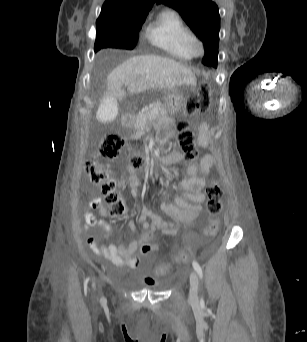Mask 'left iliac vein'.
Masks as SVG:
<instances>
[{
	"mask_svg": "<svg viewBox=\"0 0 307 342\" xmlns=\"http://www.w3.org/2000/svg\"><path fill=\"white\" fill-rule=\"evenodd\" d=\"M198 288H199V280H198L197 274L194 271H191L189 300L192 303L198 302Z\"/></svg>",
	"mask_w": 307,
	"mask_h": 342,
	"instance_id": "4c4485c4",
	"label": "left iliac vein"
}]
</instances>
